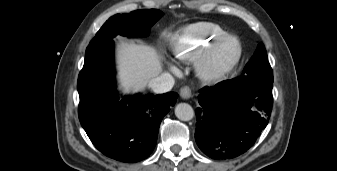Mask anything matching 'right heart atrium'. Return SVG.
Wrapping results in <instances>:
<instances>
[{"mask_svg": "<svg viewBox=\"0 0 337 171\" xmlns=\"http://www.w3.org/2000/svg\"><path fill=\"white\" fill-rule=\"evenodd\" d=\"M169 68H170L171 71H173L175 73L178 72V68L173 63L169 64Z\"/></svg>", "mask_w": 337, "mask_h": 171, "instance_id": "obj_1", "label": "right heart atrium"}]
</instances>
